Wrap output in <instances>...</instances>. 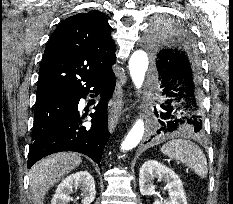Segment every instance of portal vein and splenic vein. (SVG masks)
<instances>
[{
	"mask_svg": "<svg viewBox=\"0 0 233 204\" xmlns=\"http://www.w3.org/2000/svg\"><path fill=\"white\" fill-rule=\"evenodd\" d=\"M186 171L188 172V171H189V168H186Z\"/></svg>",
	"mask_w": 233,
	"mask_h": 204,
	"instance_id": "1",
	"label": "portal vein and splenic vein"
}]
</instances>
